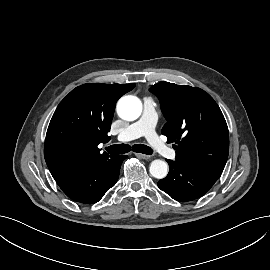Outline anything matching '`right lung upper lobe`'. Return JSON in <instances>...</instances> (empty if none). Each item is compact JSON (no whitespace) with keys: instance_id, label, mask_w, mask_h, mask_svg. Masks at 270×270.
<instances>
[{"instance_id":"cb5924a9","label":"right lung upper lobe","mask_w":270,"mask_h":270,"mask_svg":"<svg viewBox=\"0 0 270 270\" xmlns=\"http://www.w3.org/2000/svg\"><path fill=\"white\" fill-rule=\"evenodd\" d=\"M135 84H84L58 105L48 126L44 157L55 180L110 158L97 146L108 142L118 99Z\"/></svg>"}]
</instances>
